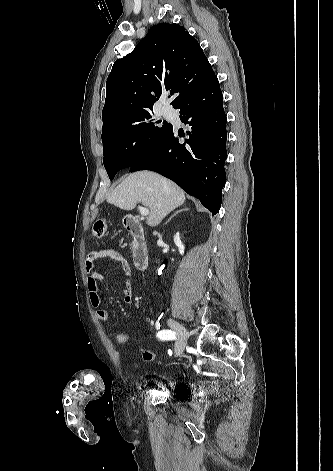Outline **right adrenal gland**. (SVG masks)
<instances>
[{"label": "right adrenal gland", "mask_w": 333, "mask_h": 471, "mask_svg": "<svg viewBox=\"0 0 333 471\" xmlns=\"http://www.w3.org/2000/svg\"><path fill=\"white\" fill-rule=\"evenodd\" d=\"M188 210H189V209H188L187 207H184L183 209L176 211L172 216H170V218L168 219L167 222H169V221H170L174 216H176L178 213L184 212V211H188Z\"/></svg>", "instance_id": "2a0ac1e0"}]
</instances>
